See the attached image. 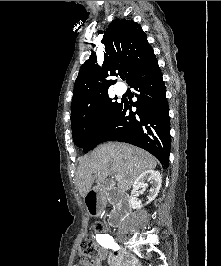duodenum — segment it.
I'll list each match as a JSON object with an SVG mask.
<instances>
[{
	"mask_svg": "<svg viewBox=\"0 0 221 266\" xmlns=\"http://www.w3.org/2000/svg\"><path fill=\"white\" fill-rule=\"evenodd\" d=\"M85 195L87 213L90 216H99L102 213L100 206H105L103 200L108 195L117 203V207L108 215V222L111 226H120L131 213L130 199L116 190L108 191L104 186H98L96 189H88Z\"/></svg>",
	"mask_w": 221,
	"mask_h": 266,
	"instance_id": "duodenum-1",
	"label": "duodenum"
}]
</instances>
